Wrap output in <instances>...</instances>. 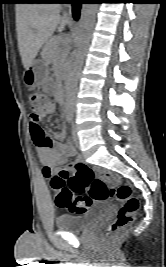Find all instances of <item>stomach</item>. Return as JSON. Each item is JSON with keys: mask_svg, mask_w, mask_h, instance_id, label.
Wrapping results in <instances>:
<instances>
[{"mask_svg": "<svg viewBox=\"0 0 166 267\" xmlns=\"http://www.w3.org/2000/svg\"><path fill=\"white\" fill-rule=\"evenodd\" d=\"M48 79V65L43 60H34L23 73L24 83L31 88L42 86Z\"/></svg>", "mask_w": 166, "mask_h": 267, "instance_id": "stomach-1", "label": "stomach"}]
</instances>
